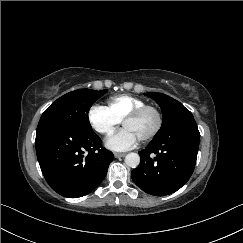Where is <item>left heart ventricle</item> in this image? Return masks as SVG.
Instances as JSON below:
<instances>
[{
    "label": "left heart ventricle",
    "instance_id": "b2bd125f",
    "mask_svg": "<svg viewBox=\"0 0 243 243\" xmlns=\"http://www.w3.org/2000/svg\"><path fill=\"white\" fill-rule=\"evenodd\" d=\"M156 117L152 112H146L135 120H129L124 123V127L130 129L138 140L146 137L154 128Z\"/></svg>",
    "mask_w": 243,
    "mask_h": 243
}]
</instances>
